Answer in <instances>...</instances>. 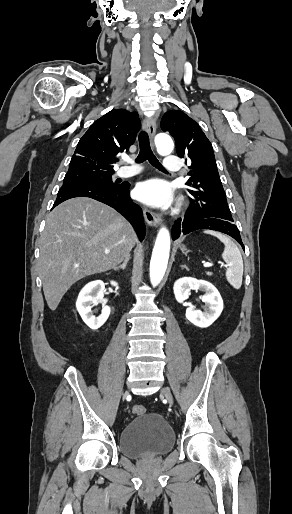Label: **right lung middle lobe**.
Instances as JSON below:
<instances>
[{"label":"right lung middle lobe","mask_w":292,"mask_h":514,"mask_svg":"<svg viewBox=\"0 0 292 514\" xmlns=\"http://www.w3.org/2000/svg\"><path fill=\"white\" fill-rule=\"evenodd\" d=\"M114 172H67L64 177V183L68 182H84L96 185L116 187L123 183H114L111 175Z\"/></svg>","instance_id":"dd1d6c3e"}]
</instances>
